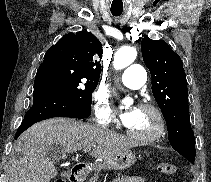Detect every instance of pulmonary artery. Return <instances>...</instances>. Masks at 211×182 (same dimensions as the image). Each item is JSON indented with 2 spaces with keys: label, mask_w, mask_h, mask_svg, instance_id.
<instances>
[{
  "label": "pulmonary artery",
  "mask_w": 211,
  "mask_h": 182,
  "mask_svg": "<svg viewBox=\"0 0 211 182\" xmlns=\"http://www.w3.org/2000/svg\"><path fill=\"white\" fill-rule=\"evenodd\" d=\"M146 71L139 64H132L128 66L121 75L122 83L131 88L138 89L145 83Z\"/></svg>",
  "instance_id": "pulmonary-artery-1"
}]
</instances>
